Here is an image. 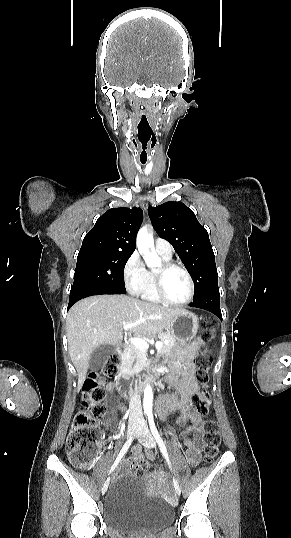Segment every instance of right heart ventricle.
Wrapping results in <instances>:
<instances>
[{
	"mask_svg": "<svg viewBox=\"0 0 291 538\" xmlns=\"http://www.w3.org/2000/svg\"><path fill=\"white\" fill-rule=\"evenodd\" d=\"M158 253V252H157ZM158 255L161 257V259L164 262H169L171 257H166L160 253ZM141 298L145 301L153 302V303H159L161 302L160 298L158 297L155 285H154V272L153 271H147V278L146 283L144 285V288L140 294Z\"/></svg>",
	"mask_w": 291,
	"mask_h": 538,
	"instance_id": "obj_1",
	"label": "right heart ventricle"
}]
</instances>
